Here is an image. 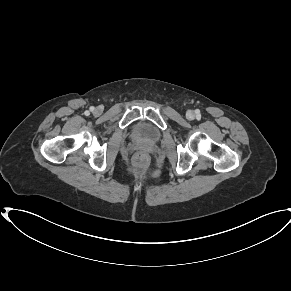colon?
<instances>
[{"label": "colon", "instance_id": "obj_1", "mask_svg": "<svg viewBox=\"0 0 291 291\" xmlns=\"http://www.w3.org/2000/svg\"><path fill=\"white\" fill-rule=\"evenodd\" d=\"M136 164L139 166H143L147 162V156L143 153H140L135 158Z\"/></svg>", "mask_w": 291, "mask_h": 291}]
</instances>
